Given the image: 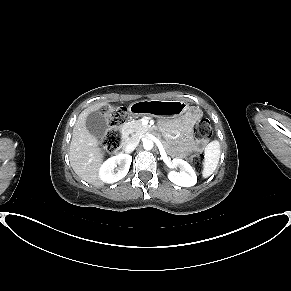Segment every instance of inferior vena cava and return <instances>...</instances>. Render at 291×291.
<instances>
[{"label":"inferior vena cava","mask_w":291,"mask_h":291,"mask_svg":"<svg viewBox=\"0 0 291 291\" xmlns=\"http://www.w3.org/2000/svg\"><path fill=\"white\" fill-rule=\"evenodd\" d=\"M138 143H139V141L136 140V139H132V140H130V141L127 143V145H126L124 151H125L126 153H131V152H133V151L135 150V148L138 146Z\"/></svg>","instance_id":"inferior-vena-cava-1"}]
</instances>
